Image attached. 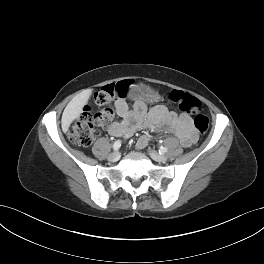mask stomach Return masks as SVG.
I'll return each instance as SVG.
<instances>
[{"mask_svg": "<svg viewBox=\"0 0 264 264\" xmlns=\"http://www.w3.org/2000/svg\"><path fill=\"white\" fill-rule=\"evenodd\" d=\"M135 99H141L146 102H154L159 100V95L156 91L145 85L137 86L131 95Z\"/></svg>", "mask_w": 264, "mask_h": 264, "instance_id": "obj_1", "label": "stomach"}]
</instances>
